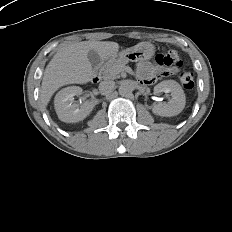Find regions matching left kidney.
Returning <instances> with one entry per match:
<instances>
[{
	"mask_svg": "<svg viewBox=\"0 0 232 232\" xmlns=\"http://www.w3.org/2000/svg\"><path fill=\"white\" fill-rule=\"evenodd\" d=\"M171 93V99L167 103H158L153 106L152 112L162 117L176 116L185 107L186 97L179 83L174 80H164L154 87V93Z\"/></svg>",
	"mask_w": 232,
	"mask_h": 232,
	"instance_id": "1",
	"label": "left kidney"
}]
</instances>
